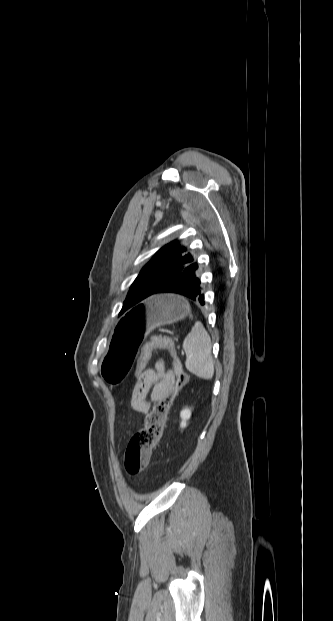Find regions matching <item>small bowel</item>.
Returning a JSON list of instances; mask_svg holds the SVG:
<instances>
[{"instance_id": "small-bowel-1", "label": "small bowel", "mask_w": 333, "mask_h": 621, "mask_svg": "<svg viewBox=\"0 0 333 621\" xmlns=\"http://www.w3.org/2000/svg\"><path fill=\"white\" fill-rule=\"evenodd\" d=\"M173 385V372L165 368L163 361L156 362L153 368L144 371L136 383L131 399L132 407L147 414L151 403L161 400Z\"/></svg>"}]
</instances>
